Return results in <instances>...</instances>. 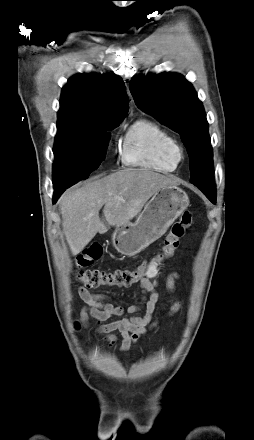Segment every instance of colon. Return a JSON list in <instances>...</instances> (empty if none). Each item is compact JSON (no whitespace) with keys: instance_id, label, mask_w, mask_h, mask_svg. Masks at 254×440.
I'll return each mask as SVG.
<instances>
[{"instance_id":"1","label":"colon","mask_w":254,"mask_h":440,"mask_svg":"<svg viewBox=\"0 0 254 440\" xmlns=\"http://www.w3.org/2000/svg\"><path fill=\"white\" fill-rule=\"evenodd\" d=\"M192 220V214L185 211L179 220L174 223L163 243L160 255L163 259L170 257L178 248L180 239L185 230L192 225ZM102 254V247L99 244H93L76 257L78 280L87 288L101 286L128 287L141 280L146 274L148 268L146 263H141L132 268L114 270L85 269L99 260Z\"/></svg>"}]
</instances>
